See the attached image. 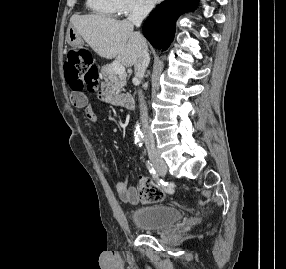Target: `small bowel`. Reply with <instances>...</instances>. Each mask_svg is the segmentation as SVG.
<instances>
[{"label":"small bowel","mask_w":286,"mask_h":269,"mask_svg":"<svg viewBox=\"0 0 286 269\" xmlns=\"http://www.w3.org/2000/svg\"><path fill=\"white\" fill-rule=\"evenodd\" d=\"M117 88H99V93H117ZM71 103L74 107L84 108L85 118L89 122L96 119L93 109L87 105V98L83 91L73 90L71 93ZM97 99H122V94H97ZM101 168L106 172H111V167L104 157L99 158ZM115 189L120 199L128 203H137L140 200L138 190L128 185L127 176H123L115 183ZM167 192H171L172 188H165Z\"/></svg>","instance_id":"obj_1"}]
</instances>
